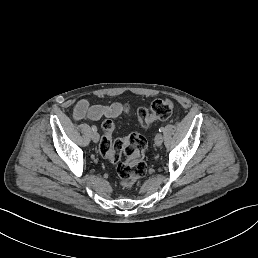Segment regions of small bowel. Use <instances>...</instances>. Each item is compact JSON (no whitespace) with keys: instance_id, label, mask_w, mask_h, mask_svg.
Returning a JSON list of instances; mask_svg holds the SVG:
<instances>
[{"instance_id":"c3829d8e","label":"small bowel","mask_w":258,"mask_h":258,"mask_svg":"<svg viewBox=\"0 0 258 258\" xmlns=\"http://www.w3.org/2000/svg\"><path fill=\"white\" fill-rule=\"evenodd\" d=\"M123 112L121 103H110L102 105H91L88 100H81L75 107L74 118L81 120H99L101 117L116 118Z\"/></svg>"}]
</instances>
